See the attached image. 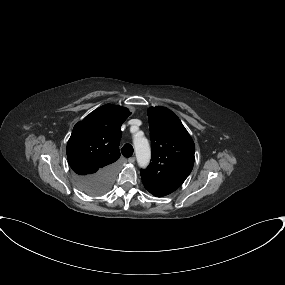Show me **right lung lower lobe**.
Returning <instances> with one entry per match:
<instances>
[{
	"label": "right lung lower lobe",
	"mask_w": 285,
	"mask_h": 285,
	"mask_svg": "<svg viewBox=\"0 0 285 285\" xmlns=\"http://www.w3.org/2000/svg\"><path fill=\"white\" fill-rule=\"evenodd\" d=\"M116 164H111L95 174L77 176L79 188L89 195H102L107 192L114 180Z\"/></svg>",
	"instance_id": "right-lung-lower-lobe-1"
}]
</instances>
